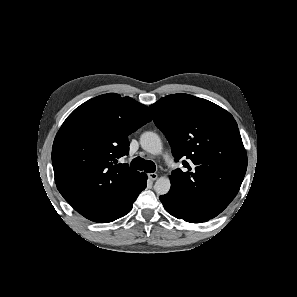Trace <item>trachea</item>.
<instances>
[{
	"label": "trachea",
	"instance_id": "trachea-1",
	"mask_svg": "<svg viewBox=\"0 0 297 297\" xmlns=\"http://www.w3.org/2000/svg\"><path fill=\"white\" fill-rule=\"evenodd\" d=\"M130 166L136 170H144L147 173H153L156 170V165L152 161L144 160L141 157H136L131 161Z\"/></svg>",
	"mask_w": 297,
	"mask_h": 297
}]
</instances>
